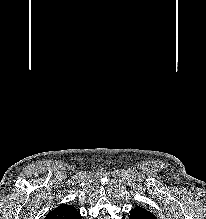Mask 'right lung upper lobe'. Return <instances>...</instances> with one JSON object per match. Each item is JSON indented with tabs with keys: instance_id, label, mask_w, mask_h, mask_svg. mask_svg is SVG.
<instances>
[{
	"instance_id": "1",
	"label": "right lung upper lobe",
	"mask_w": 206,
	"mask_h": 219,
	"mask_svg": "<svg viewBox=\"0 0 206 219\" xmlns=\"http://www.w3.org/2000/svg\"><path fill=\"white\" fill-rule=\"evenodd\" d=\"M45 219H81V215L73 206L61 204L50 211Z\"/></svg>"
}]
</instances>
